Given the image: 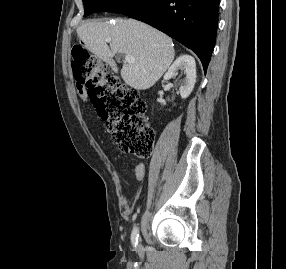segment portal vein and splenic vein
Masks as SVG:
<instances>
[{
  "instance_id": "18ae733b",
  "label": "portal vein and splenic vein",
  "mask_w": 286,
  "mask_h": 269,
  "mask_svg": "<svg viewBox=\"0 0 286 269\" xmlns=\"http://www.w3.org/2000/svg\"><path fill=\"white\" fill-rule=\"evenodd\" d=\"M110 41H111L110 38L106 39V42L109 43ZM125 61H126L127 63H134V62H135V58H134L133 56H131V55H126V56H125Z\"/></svg>"
}]
</instances>
